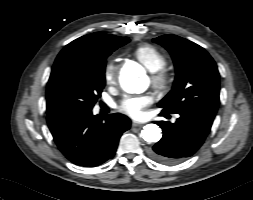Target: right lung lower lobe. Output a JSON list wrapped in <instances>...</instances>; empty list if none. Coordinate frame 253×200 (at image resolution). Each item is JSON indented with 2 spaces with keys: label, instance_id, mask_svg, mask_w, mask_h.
<instances>
[{
  "label": "right lung lower lobe",
  "instance_id": "obj_1",
  "mask_svg": "<svg viewBox=\"0 0 253 200\" xmlns=\"http://www.w3.org/2000/svg\"><path fill=\"white\" fill-rule=\"evenodd\" d=\"M48 127L60 151L80 166H98L112 158L119 138L130 128V119L122 114L105 118L92 111L47 116Z\"/></svg>",
  "mask_w": 253,
  "mask_h": 200
}]
</instances>
